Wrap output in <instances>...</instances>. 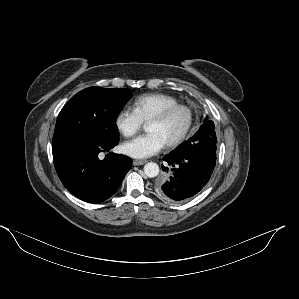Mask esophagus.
Segmentation results:
<instances>
[{"label": "esophagus", "instance_id": "obj_1", "mask_svg": "<svg viewBox=\"0 0 299 299\" xmlns=\"http://www.w3.org/2000/svg\"><path fill=\"white\" fill-rule=\"evenodd\" d=\"M146 162H147L146 160H133V165L139 166L145 164Z\"/></svg>", "mask_w": 299, "mask_h": 299}]
</instances>
